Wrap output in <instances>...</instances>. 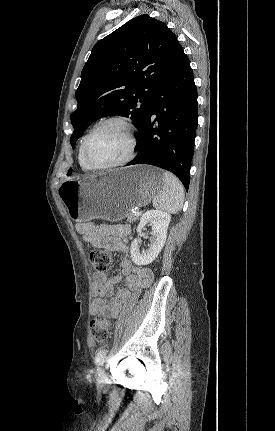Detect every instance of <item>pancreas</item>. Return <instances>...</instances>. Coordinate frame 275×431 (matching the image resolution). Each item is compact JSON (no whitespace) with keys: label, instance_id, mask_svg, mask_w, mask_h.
Returning <instances> with one entry per match:
<instances>
[{"label":"pancreas","instance_id":"1","mask_svg":"<svg viewBox=\"0 0 275 431\" xmlns=\"http://www.w3.org/2000/svg\"><path fill=\"white\" fill-rule=\"evenodd\" d=\"M126 217H127V221L130 223L136 222L139 219V216H136L135 214H131V213H128Z\"/></svg>","mask_w":275,"mask_h":431}]
</instances>
